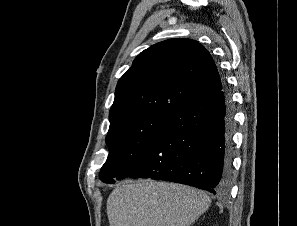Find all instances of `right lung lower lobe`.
Wrapping results in <instances>:
<instances>
[{
	"mask_svg": "<svg viewBox=\"0 0 297 226\" xmlns=\"http://www.w3.org/2000/svg\"><path fill=\"white\" fill-rule=\"evenodd\" d=\"M234 113L227 88L176 109L141 155L116 179L152 178L224 193L232 173Z\"/></svg>",
	"mask_w": 297,
	"mask_h": 226,
	"instance_id": "obj_1",
	"label": "right lung lower lobe"
}]
</instances>
